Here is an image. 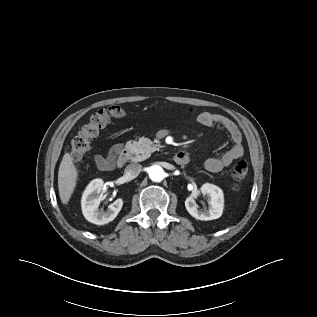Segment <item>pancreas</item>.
<instances>
[{"label": "pancreas", "mask_w": 317, "mask_h": 317, "mask_svg": "<svg viewBox=\"0 0 317 317\" xmlns=\"http://www.w3.org/2000/svg\"><path fill=\"white\" fill-rule=\"evenodd\" d=\"M126 148L129 151V159L140 162L149 158L157 149V145H155L149 138L141 137L138 141H128Z\"/></svg>", "instance_id": "obj_1"}]
</instances>
